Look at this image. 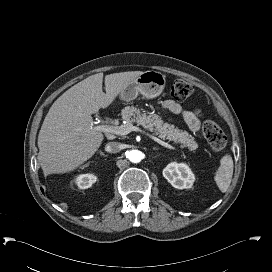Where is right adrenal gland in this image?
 Here are the masks:
<instances>
[{
  "instance_id": "1",
  "label": "right adrenal gland",
  "mask_w": 272,
  "mask_h": 272,
  "mask_svg": "<svg viewBox=\"0 0 272 272\" xmlns=\"http://www.w3.org/2000/svg\"><path fill=\"white\" fill-rule=\"evenodd\" d=\"M100 154L103 155V156H107V155H105L102 151H100Z\"/></svg>"
}]
</instances>
